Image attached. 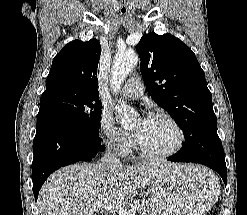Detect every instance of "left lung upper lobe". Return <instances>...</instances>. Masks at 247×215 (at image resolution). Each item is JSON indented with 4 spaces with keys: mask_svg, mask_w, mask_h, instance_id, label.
Returning <instances> with one entry per match:
<instances>
[{
    "mask_svg": "<svg viewBox=\"0 0 247 215\" xmlns=\"http://www.w3.org/2000/svg\"><path fill=\"white\" fill-rule=\"evenodd\" d=\"M137 52L148 93L182 128L183 147H193L196 137L217 134L212 96L194 52L175 36L156 33L145 34Z\"/></svg>",
    "mask_w": 247,
    "mask_h": 215,
    "instance_id": "1",
    "label": "left lung upper lobe"
}]
</instances>
